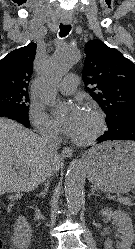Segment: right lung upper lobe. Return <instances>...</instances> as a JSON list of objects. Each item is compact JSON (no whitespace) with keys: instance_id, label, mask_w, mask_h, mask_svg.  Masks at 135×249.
<instances>
[{"instance_id":"1","label":"right lung upper lobe","mask_w":135,"mask_h":249,"mask_svg":"<svg viewBox=\"0 0 135 249\" xmlns=\"http://www.w3.org/2000/svg\"><path fill=\"white\" fill-rule=\"evenodd\" d=\"M36 47L32 42L0 60V91H28Z\"/></svg>"}]
</instances>
